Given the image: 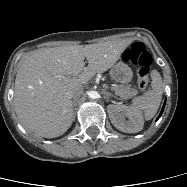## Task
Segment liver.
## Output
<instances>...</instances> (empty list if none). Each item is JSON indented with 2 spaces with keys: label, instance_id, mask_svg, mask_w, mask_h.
Here are the masks:
<instances>
[{
  "label": "liver",
  "instance_id": "liver-1",
  "mask_svg": "<svg viewBox=\"0 0 187 187\" xmlns=\"http://www.w3.org/2000/svg\"><path fill=\"white\" fill-rule=\"evenodd\" d=\"M131 42L44 48L26 55L14 88V108L22 125L47 138L64 134L73 122L72 89L114 66Z\"/></svg>",
  "mask_w": 187,
  "mask_h": 187
}]
</instances>
